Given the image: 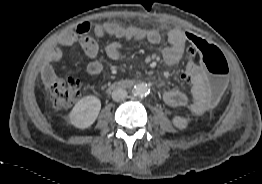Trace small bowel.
Instances as JSON below:
<instances>
[{"mask_svg":"<svg viewBox=\"0 0 262 184\" xmlns=\"http://www.w3.org/2000/svg\"><path fill=\"white\" fill-rule=\"evenodd\" d=\"M91 24L82 22L74 30L62 33L57 38V44L61 47H68L79 42L84 53L91 59L87 64L86 70L90 75H99L103 70L102 62L97 59L99 54L98 44L89 36ZM94 34L97 37H103L107 34L115 36L126 41H145L150 44H158L161 41V34L154 29L141 28L136 26L121 27L112 23H102L95 25ZM190 31L180 29H170L167 34L168 45L163 49V60L167 65H175L184 54H187V69H179L176 77L184 84H189L195 77L191 96H187L180 90H168L163 94L164 102L171 107H186L196 115L203 114L216 101H212L207 96L208 83L203 74L204 67L197 62V56L194 47L186 43L187 35ZM206 42V41H205ZM106 55L114 61L122 59V44L120 42H111L105 48ZM62 58V51L59 47L51 49L46 56L45 73L52 74L53 67Z\"/></svg>","mask_w":262,"mask_h":184,"instance_id":"small-bowel-1","label":"small bowel"}]
</instances>
